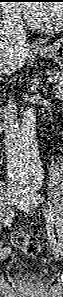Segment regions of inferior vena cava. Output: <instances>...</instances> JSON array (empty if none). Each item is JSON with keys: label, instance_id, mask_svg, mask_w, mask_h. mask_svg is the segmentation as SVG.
Listing matches in <instances>:
<instances>
[{"label": "inferior vena cava", "instance_id": "inferior-vena-cava-1", "mask_svg": "<svg viewBox=\"0 0 63 297\" xmlns=\"http://www.w3.org/2000/svg\"><path fill=\"white\" fill-rule=\"evenodd\" d=\"M1 34L10 33L17 38H25L22 21L13 13H5L1 19ZM2 118L5 130L6 159L9 171L15 177L23 180L26 174L25 157L22 150L20 128L17 120L16 104L13 97L9 96L7 104L2 108Z\"/></svg>", "mask_w": 63, "mask_h": 297}]
</instances>
